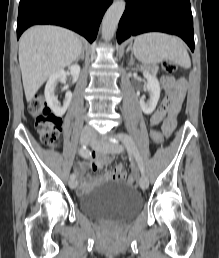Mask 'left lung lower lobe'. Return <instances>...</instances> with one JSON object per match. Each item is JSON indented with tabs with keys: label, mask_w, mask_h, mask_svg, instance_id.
<instances>
[{
	"label": "left lung lower lobe",
	"mask_w": 219,
	"mask_h": 258,
	"mask_svg": "<svg viewBox=\"0 0 219 258\" xmlns=\"http://www.w3.org/2000/svg\"><path fill=\"white\" fill-rule=\"evenodd\" d=\"M150 31L178 35L194 51L190 0H126L117 31L118 43Z\"/></svg>",
	"instance_id": "1"
}]
</instances>
